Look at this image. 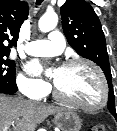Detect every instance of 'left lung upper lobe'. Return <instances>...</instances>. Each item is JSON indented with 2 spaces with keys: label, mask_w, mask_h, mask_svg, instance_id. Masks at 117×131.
Returning a JSON list of instances; mask_svg holds the SVG:
<instances>
[{
  "label": "left lung upper lobe",
  "mask_w": 117,
  "mask_h": 131,
  "mask_svg": "<svg viewBox=\"0 0 117 131\" xmlns=\"http://www.w3.org/2000/svg\"><path fill=\"white\" fill-rule=\"evenodd\" d=\"M60 13L69 45L82 57L97 63L104 71L109 86L107 106L117 120L106 40L98 16L84 0H66Z\"/></svg>",
  "instance_id": "1"
}]
</instances>
